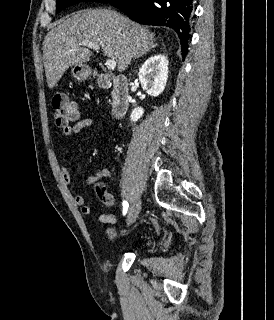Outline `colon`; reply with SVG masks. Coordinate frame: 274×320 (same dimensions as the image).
<instances>
[{
	"instance_id": "1",
	"label": "colon",
	"mask_w": 274,
	"mask_h": 320,
	"mask_svg": "<svg viewBox=\"0 0 274 320\" xmlns=\"http://www.w3.org/2000/svg\"><path fill=\"white\" fill-rule=\"evenodd\" d=\"M52 107L54 109V122L63 128L72 127L75 120H79L78 106L69 101L66 93H56L52 98ZM93 186L97 193L105 192V182H94ZM101 200L106 204H112L111 198L107 193L101 195Z\"/></svg>"
}]
</instances>
